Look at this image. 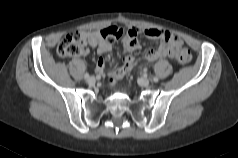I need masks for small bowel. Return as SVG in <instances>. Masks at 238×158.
Masks as SVG:
<instances>
[{
    "instance_id": "1",
    "label": "small bowel",
    "mask_w": 238,
    "mask_h": 158,
    "mask_svg": "<svg viewBox=\"0 0 238 158\" xmlns=\"http://www.w3.org/2000/svg\"><path fill=\"white\" fill-rule=\"evenodd\" d=\"M114 28V27H111ZM117 30V28H114ZM143 33L147 38L159 39L160 44L156 49H148L145 52L144 60L155 61L165 57L173 56V48L182 46L181 41L169 31L159 28L140 29L137 27L130 28L123 39L124 58L123 64L111 71L107 72L111 83L125 76L134 66L135 60L132 53L140 48L139 35ZM81 35L85 41V45L91 48H97L98 61L96 64V72L98 74L105 73V57L110 53L112 46L110 42L104 40L101 31H82Z\"/></svg>"
}]
</instances>
